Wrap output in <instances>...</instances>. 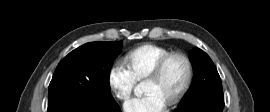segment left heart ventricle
<instances>
[{"instance_id": "left-heart-ventricle-1", "label": "left heart ventricle", "mask_w": 270, "mask_h": 112, "mask_svg": "<svg viewBox=\"0 0 270 112\" xmlns=\"http://www.w3.org/2000/svg\"><path fill=\"white\" fill-rule=\"evenodd\" d=\"M186 74L185 62L180 58H174L169 62L160 79L146 80L144 91L146 94L155 93L168 103L180 91Z\"/></svg>"}]
</instances>
